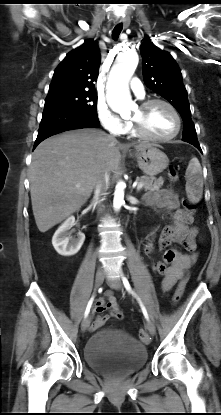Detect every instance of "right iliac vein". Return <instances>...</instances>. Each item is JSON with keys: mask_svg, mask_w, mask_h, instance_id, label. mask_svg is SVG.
<instances>
[{"mask_svg": "<svg viewBox=\"0 0 221 415\" xmlns=\"http://www.w3.org/2000/svg\"><path fill=\"white\" fill-rule=\"evenodd\" d=\"M105 279V273L103 271H98L95 277V291L102 285ZM91 323V316H87L81 324V330L84 332L86 331Z\"/></svg>", "mask_w": 221, "mask_h": 415, "instance_id": "obj_1", "label": "right iliac vein"}]
</instances>
